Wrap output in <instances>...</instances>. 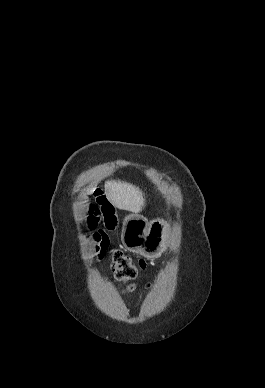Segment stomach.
Masks as SVG:
<instances>
[{
  "label": "stomach",
  "instance_id": "obj_1",
  "mask_svg": "<svg viewBox=\"0 0 265 388\" xmlns=\"http://www.w3.org/2000/svg\"><path fill=\"white\" fill-rule=\"evenodd\" d=\"M168 233L164 220L148 222L141 215L131 214L123 222L121 240L127 250L154 258L165 250Z\"/></svg>",
  "mask_w": 265,
  "mask_h": 388
}]
</instances>
